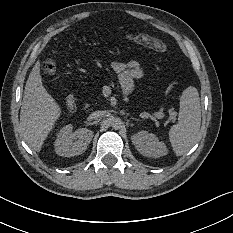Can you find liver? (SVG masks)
<instances>
[{"mask_svg":"<svg viewBox=\"0 0 233 233\" xmlns=\"http://www.w3.org/2000/svg\"><path fill=\"white\" fill-rule=\"evenodd\" d=\"M60 113L58 103L43 86L40 61H37L26 81L20 109L23 137L35 151L41 150Z\"/></svg>","mask_w":233,"mask_h":233,"instance_id":"6515ba94","label":"liver"}]
</instances>
